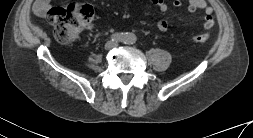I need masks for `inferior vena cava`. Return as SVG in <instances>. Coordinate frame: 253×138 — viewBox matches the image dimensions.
<instances>
[{"mask_svg": "<svg viewBox=\"0 0 253 138\" xmlns=\"http://www.w3.org/2000/svg\"><path fill=\"white\" fill-rule=\"evenodd\" d=\"M116 45H117L116 42H108V43L106 44V46H107L108 48L115 47Z\"/></svg>", "mask_w": 253, "mask_h": 138, "instance_id": "inferior-vena-cava-1", "label": "inferior vena cava"}]
</instances>
